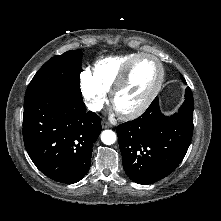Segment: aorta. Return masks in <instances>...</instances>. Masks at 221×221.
I'll use <instances>...</instances> for the list:
<instances>
[{
	"instance_id": "1",
	"label": "aorta",
	"mask_w": 221,
	"mask_h": 221,
	"mask_svg": "<svg viewBox=\"0 0 221 221\" xmlns=\"http://www.w3.org/2000/svg\"><path fill=\"white\" fill-rule=\"evenodd\" d=\"M116 134L112 130H104L101 133V141L106 145H111L116 142Z\"/></svg>"
}]
</instances>
